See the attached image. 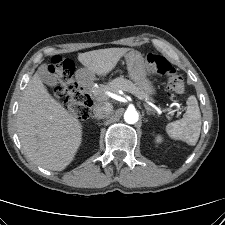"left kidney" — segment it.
Segmentation results:
<instances>
[{"mask_svg": "<svg viewBox=\"0 0 225 225\" xmlns=\"http://www.w3.org/2000/svg\"><path fill=\"white\" fill-rule=\"evenodd\" d=\"M161 137L159 136V137H157V142H161Z\"/></svg>", "mask_w": 225, "mask_h": 225, "instance_id": "5707ae66", "label": "left kidney"}]
</instances>
